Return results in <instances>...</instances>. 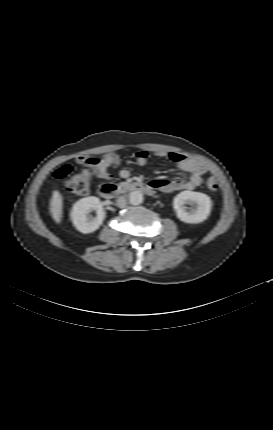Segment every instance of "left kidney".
<instances>
[{"mask_svg": "<svg viewBox=\"0 0 273 430\" xmlns=\"http://www.w3.org/2000/svg\"><path fill=\"white\" fill-rule=\"evenodd\" d=\"M186 205L192 206L191 208ZM177 217L185 223H200L207 219L211 212L210 197L201 192L183 191L173 200ZM189 209V210H188Z\"/></svg>", "mask_w": 273, "mask_h": 430, "instance_id": "obj_1", "label": "left kidney"}]
</instances>
